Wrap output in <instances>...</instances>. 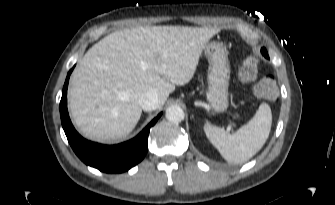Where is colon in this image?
Masks as SVG:
<instances>
[{
    "instance_id": "obj_1",
    "label": "colon",
    "mask_w": 335,
    "mask_h": 205,
    "mask_svg": "<svg viewBox=\"0 0 335 205\" xmlns=\"http://www.w3.org/2000/svg\"><path fill=\"white\" fill-rule=\"evenodd\" d=\"M259 70L258 60L254 57L243 59L239 65L238 78L241 82L249 83L256 79ZM254 94L259 98L274 99L278 95L275 80L266 76L261 78L253 87Z\"/></svg>"
}]
</instances>
